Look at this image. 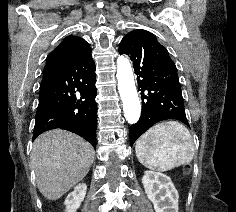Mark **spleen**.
Here are the masks:
<instances>
[{
	"mask_svg": "<svg viewBox=\"0 0 236 212\" xmlns=\"http://www.w3.org/2000/svg\"><path fill=\"white\" fill-rule=\"evenodd\" d=\"M135 151L142 165L165 172L189 164L195 148L192 136L183 124L165 121L146 131L136 141Z\"/></svg>",
	"mask_w": 236,
	"mask_h": 212,
	"instance_id": "spleen-1",
	"label": "spleen"
}]
</instances>
